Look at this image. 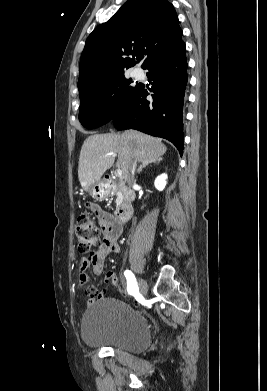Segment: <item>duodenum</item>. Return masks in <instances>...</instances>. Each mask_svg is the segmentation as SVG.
<instances>
[{"mask_svg": "<svg viewBox=\"0 0 267 391\" xmlns=\"http://www.w3.org/2000/svg\"><path fill=\"white\" fill-rule=\"evenodd\" d=\"M110 183L112 180L109 178L108 180ZM123 193L125 196L124 203L117 209L115 213V223L117 225H120L126 221H128L133 214V206H132V199H133V193L128 188H123Z\"/></svg>", "mask_w": 267, "mask_h": 391, "instance_id": "410a0bca", "label": "duodenum"}]
</instances>
